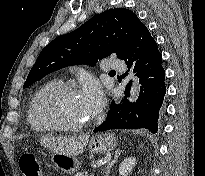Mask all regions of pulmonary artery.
<instances>
[{
  "label": "pulmonary artery",
  "instance_id": "e3ab8cb5",
  "mask_svg": "<svg viewBox=\"0 0 205 176\" xmlns=\"http://www.w3.org/2000/svg\"><path fill=\"white\" fill-rule=\"evenodd\" d=\"M106 64L108 68L112 69L113 71L122 72L126 69V66L124 65V63L113 56H110V61H108V63Z\"/></svg>",
  "mask_w": 205,
  "mask_h": 176
}]
</instances>
